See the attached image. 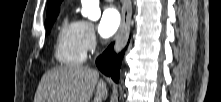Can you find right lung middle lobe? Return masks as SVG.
<instances>
[{"label": "right lung middle lobe", "instance_id": "obj_1", "mask_svg": "<svg viewBox=\"0 0 221 102\" xmlns=\"http://www.w3.org/2000/svg\"><path fill=\"white\" fill-rule=\"evenodd\" d=\"M58 12L59 11H57V12L53 13L52 15H50L49 17H47V20L45 22V26H46L47 32L50 31V29H51V27H52V25H53L57 15H58Z\"/></svg>", "mask_w": 221, "mask_h": 102}]
</instances>
